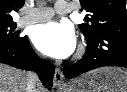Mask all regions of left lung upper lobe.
Wrapping results in <instances>:
<instances>
[{
    "label": "left lung upper lobe",
    "mask_w": 127,
    "mask_h": 92,
    "mask_svg": "<svg viewBox=\"0 0 127 92\" xmlns=\"http://www.w3.org/2000/svg\"><path fill=\"white\" fill-rule=\"evenodd\" d=\"M88 14L85 23L78 25L86 40L104 30L127 32L125 0H80Z\"/></svg>",
    "instance_id": "5c2ea615"
}]
</instances>
